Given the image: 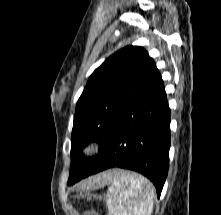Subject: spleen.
<instances>
[{
  "label": "spleen",
  "instance_id": "3e777b00",
  "mask_svg": "<svg viewBox=\"0 0 221 215\" xmlns=\"http://www.w3.org/2000/svg\"><path fill=\"white\" fill-rule=\"evenodd\" d=\"M110 184L107 197L109 215H151L155 192L145 177L117 171Z\"/></svg>",
  "mask_w": 221,
  "mask_h": 215
}]
</instances>
